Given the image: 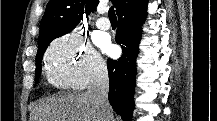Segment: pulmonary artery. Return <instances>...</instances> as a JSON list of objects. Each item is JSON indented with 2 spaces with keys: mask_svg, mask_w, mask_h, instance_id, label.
Instances as JSON below:
<instances>
[{
  "mask_svg": "<svg viewBox=\"0 0 217 121\" xmlns=\"http://www.w3.org/2000/svg\"><path fill=\"white\" fill-rule=\"evenodd\" d=\"M96 25L100 30L103 31L109 30L111 27L109 19L104 16L97 19Z\"/></svg>",
  "mask_w": 217,
  "mask_h": 121,
  "instance_id": "pulmonary-artery-1",
  "label": "pulmonary artery"
}]
</instances>
